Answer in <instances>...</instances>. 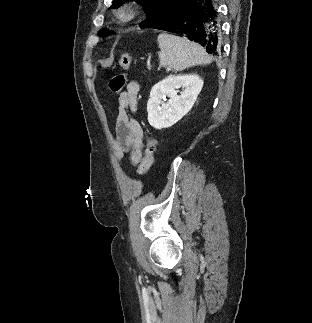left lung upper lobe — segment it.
Segmentation results:
<instances>
[{"mask_svg":"<svg viewBox=\"0 0 312 323\" xmlns=\"http://www.w3.org/2000/svg\"><path fill=\"white\" fill-rule=\"evenodd\" d=\"M125 1H136L147 10V18L139 24L141 28H156L171 11L175 0H113L110 8L116 9ZM104 33L105 29L102 30Z\"/></svg>","mask_w":312,"mask_h":323,"instance_id":"obj_1","label":"left lung upper lobe"}]
</instances>
